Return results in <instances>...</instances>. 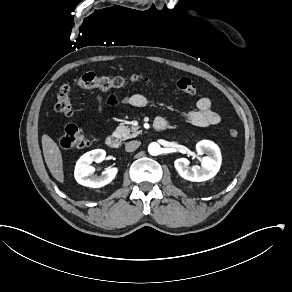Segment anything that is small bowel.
I'll use <instances>...</instances> for the list:
<instances>
[{
    "label": "small bowel",
    "mask_w": 292,
    "mask_h": 292,
    "mask_svg": "<svg viewBox=\"0 0 292 292\" xmlns=\"http://www.w3.org/2000/svg\"><path fill=\"white\" fill-rule=\"evenodd\" d=\"M94 99L96 104V116H100L104 112L106 105L109 107H117L123 104L136 108H144L149 104L148 98L140 93L126 95L123 98H119L115 93H109L106 97L101 93H96ZM185 119L192 125L210 126L219 124L221 115L213 110L211 100L207 97H203L198 100L195 110L188 111L185 114Z\"/></svg>",
    "instance_id": "small-bowel-1"
}]
</instances>
